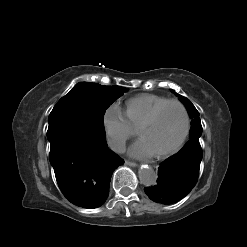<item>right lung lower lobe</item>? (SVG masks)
Listing matches in <instances>:
<instances>
[{"label": "right lung lower lobe", "mask_w": 247, "mask_h": 247, "mask_svg": "<svg viewBox=\"0 0 247 247\" xmlns=\"http://www.w3.org/2000/svg\"><path fill=\"white\" fill-rule=\"evenodd\" d=\"M50 163L60 190L76 206L93 209L109 195L113 171L124 161L108 149L105 136L76 120L49 123Z\"/></svg>", "instance_id": "obj_1"}]
</instances>
